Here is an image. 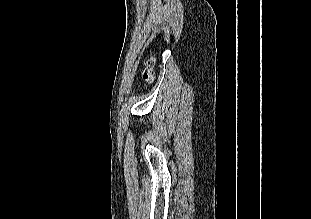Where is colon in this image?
<instances>
[{"label":"colon","mask_w":311,"mask_h":219,"mask_svg":"<svg viewBox=\"0 0 311 219\" xmlns=\"http://www.w3.org/2000/svg\"><path fill=\"white\" fill-rule=\"evenodd\" d=\"M153 65H154V58L153 57H150L148 60H147V71L145 72L144 74V78L147 82H151L152 79H153Z\"/></svg>","instance_id":"5ec220e1"}]
</instances>
